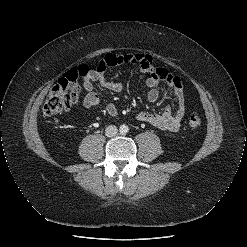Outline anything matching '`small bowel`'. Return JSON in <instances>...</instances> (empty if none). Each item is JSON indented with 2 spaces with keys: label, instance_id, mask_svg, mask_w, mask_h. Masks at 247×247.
Listing matches in <instances>:
<instances>
[{
  "label": "small bowel",
  "instance_id": "obj_1",
  "mask_svg": "<svg viewBox=\"0 0 247 247\" xmlns=\"http://www.w3.org/2000/svg\"><path fill=\"white\" fill-rule=\"evenodd\" d=\"M131 65L138 66L142 72L147 73L146 87L148 89L147 98L150 102H156L160 93L158 85L164 82L171 88L176 98V110L172 111L167 107L161 113H150L141 111L136 118L139 121L147 122L162 130L176 131L180 128L186 113V96L185 85L180 77L170 73L167 69L154 65L152 57L147 54H113L105 55L99 62L96 69L89 70L83 77V87L86 96L83 100L85 108H92L99 104V95L94 91V83L100 84L103 88L119 92L123 88L121 79L109 80L106 77V70L109 67H128ZM106 113L111 117L117 116V108L113 103L106 106Z\"/></svg>",
  "mask_w": 247,
  "mask_h": 247
}]
</instances>
